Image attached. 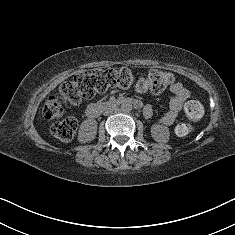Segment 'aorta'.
I'll return each instance as SVG.
<instances>
[{
  "label": "aorta",
  "mask_w": 235,
  "mask_h": 235,
  "mask_svg": "<svg viewBox=\"0 0 235 235\" xmlns=\"http://www.w3.org/2000/svg\"><path fill=\"white\" fill-rule=\"evenodd\" d=\"M121 109H122L123 112H129V111L132 110V106L128 103H123L121 105Z\"/></svg>",
  "instance_id": "762f6f07"
}]
</instances>
